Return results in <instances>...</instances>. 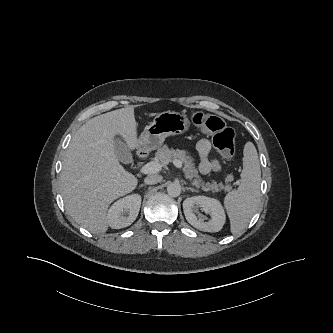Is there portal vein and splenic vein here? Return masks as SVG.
Returning <instances> with one entry per match:
<instances>
[{"mask_svg": "<svg viewBox=\"0 0 333 333\" xmlns=\"http://www.w3.org/2000/svg\"><path fill=\"white\" fill-rule=\"evenodd\" d=\"M173 164L177 168L182 167V162L178 159H174ZM162 167H163V164H161L160 162L152 161V162H149V163L145 164L144 166H142L141 169H140V173H142V174L157 173L162 169Z\"/></svg>", "mask_w": 333, "mask_h": 333, "instance_id": "portal-vein-and-splenic-vein-1", "label": "portal vein and splenic vein"}]
</instances>
